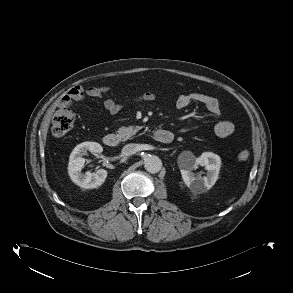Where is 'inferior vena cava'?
Listing matches in <instances>:
<instances>
[{
	"label": "inferior vena cava",
	"mask_w": 293,
	"mask_h": 293,
	"mask_svg": "<svg viewBox=\"0 0 293 293\" xmlns=\"http://www.w3.org/2000/svg\"><path fill=\"white\" fill-rule=\"evenodd\" d=\"M138 151V147L136 144H127L122 148V154L124 156H130L132 154H135Z\"/></svg>",
	"instance_id": "obj_1"
}]
</instances>
